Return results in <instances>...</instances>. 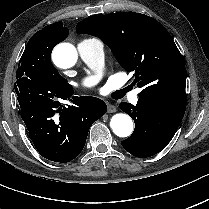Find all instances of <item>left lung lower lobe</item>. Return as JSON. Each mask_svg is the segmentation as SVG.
<instances>
[{
	"label": "left lung lower lobe",
	"instance_id": "obj_1",
	"mask_svg": "<svg viewBox=\"0 0 209 209\" xmlns=\"http://www.w3.org/2000/svg\"><path fill=\"white\" fill-rule=\"evenodd\" d=\"M119 107L135 122L134 132L122 141V146L140 158L153 156L164 149L173 138L185 113V108L147 98H139L136 106L122 102Z\"/></svg>",
	"mask_w": 209,
	"mask_h": 209
}]
</instances>
